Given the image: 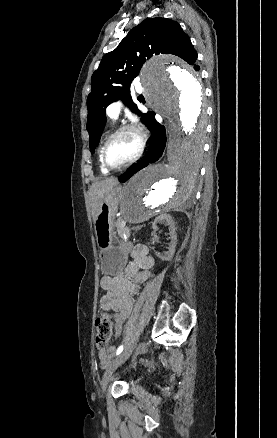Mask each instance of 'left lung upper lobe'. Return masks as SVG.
Returning <instances> with one entry per match:
<instances>
[{"label":"left lung upper lobe","mask_w":277,"mask_h":438,"mask_svg":"<svg viewBox=\"0 0 277 438\" xmlns=\"http://www.w3.org/2000/svg\"><path fill=\"white\" fill-rule=\"evenodd\" d=\"M173 54L193 65L197 52L189 36L176 21L155 17L147 18L132 28L118 47L107 53L91 78V93L87 98V131L91 152L98 145L104 129L106 107L122 99L124 103L150 126L155 114H141L130 94V84L146 61L154 54ZM195 69H199L195 66Z\"/></svg>","instance_id":"5c2ea615"}]
</instances>
